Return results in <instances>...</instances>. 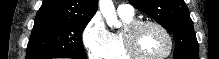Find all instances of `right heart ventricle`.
<instances>
[{"mask_svg": "<svg viewBox=\"0 0 219 59\" xmlns=\"http://www.w3.org/2000/svg\"><path fill=\"white\" fill-rule=\"evenodd\" d=\"M119 16L123 21L124 27L121 30L110 33L109 44L102 59H133L125 50L123 30L127 25L136 21V18L134 14H119Z\"/></svg>", "mask_w": 219, "mask_h": 59, "instance_id": "right-heart-ventricle-1", "label": "right heart ventricle"}]
</instances>
